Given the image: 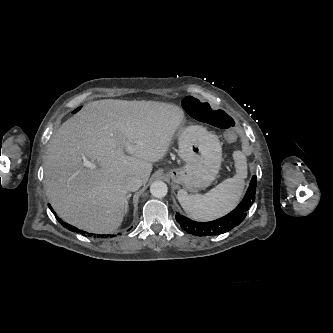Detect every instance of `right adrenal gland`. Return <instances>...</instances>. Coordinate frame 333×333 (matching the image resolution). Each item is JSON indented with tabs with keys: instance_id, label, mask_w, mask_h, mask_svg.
<instances>
[{
	"instance_id": "right-adrenal-gland-1",
	"label": "right adrenal gland",
	"mask_w": 333,
	"mask_h": 333,
	"mask_svg": "<svg viewBox=\"0 0 333 333\" xmlns=\"http://www.w3.org/2000/svg\"><path fill=\"white\" fill-rule=\"evenodd\" d=\"M131 197V194H128L125 199V213L128 211V200Z\"/></svg>"
}]
</instances>
